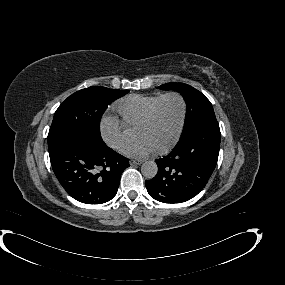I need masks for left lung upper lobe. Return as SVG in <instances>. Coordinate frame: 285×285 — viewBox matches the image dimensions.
Masks as SVG:
<instances>
[{"instance_id": "5c2ea615", "label": "left lung upper lobe", "mask_w": 285, "mask_h": 285, "mask_svg": "<svg viewBox=\"0 0 285 285\" xmlns=\"http://www.w3.org/2000/svg\"><path fill=\"white\" fill-rule=\"evenodd\" d=\"M163 90L179 92L187 105L186 125L181 138L208 122L217 121L212 104L201 92L184 83L171 82L158 87Z\"/></svg>"}]
</instances>
